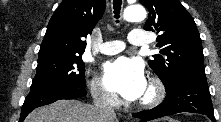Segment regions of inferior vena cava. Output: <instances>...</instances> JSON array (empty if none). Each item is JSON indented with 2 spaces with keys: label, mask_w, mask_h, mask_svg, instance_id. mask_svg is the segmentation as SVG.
<instances>
[{
  "label": "inferior vena cava",
  "mask_w": 221,
  "mask_h": 122,
  "mask_svg": "<svg viewBox=\"0 0 221 122\" xmlns=\"http://www.w3.org/2000/svg\"><path fill=\"white\" fill-rule=\"evenodd\" d=\"M92 93L94 107L101 121L104 119H115L116 115L114 109L107 102V93L100 87L95 88Z\"/></svg>",
  "instance_id": "obj_1"
}]
</instances>
